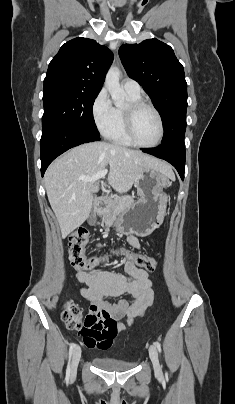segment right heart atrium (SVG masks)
<instances>
[{"label": "right heart atrium", "mask_w": 235, "mask_h": 404, "mask_svg": "<svg viewBox=\"0 0 235 404\" xmlns=\"http://www.w3.org/2000/svg\"><path fill=\"white\" fill-rule=\"evenodd\" d=\"M92 118L97 129L105 134L111 127L114 107L106 89H101L92 102Z\"/></svg>", "instance_id": "d8ad5b80"}]
</instances>
